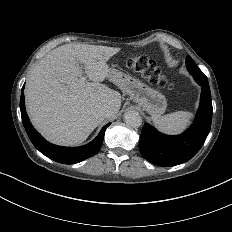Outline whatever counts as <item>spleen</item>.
I'll use <instances>...</instances> for the list:
<instances>
[{"mask_svg":"<svg viewBox=\"0 0 232 232\" xmlns=\"http://www.w3.org/2000/svg\"><path fill=\"white\" fill-rule=\"evenodd\" d=\"M189 114L184 111H175L164 115L153 116L155 124L166 132H179L187 123Z\"/></svg>","mask_w":232,"mask_h":232,"instance_id":"1","label":"spleen"}]
</instances>
